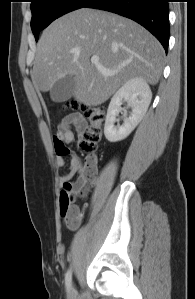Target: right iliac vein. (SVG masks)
<instances>
[{
	"mask_svg": "<svg viewBox=\"0 0 195 299\" xmlns=\"http://www.w3.org/2000/svg\"><path fill=\"white\" fill-rule=\"evenodd\" d=\"M68 295H69V299H73L75 292H74V288L71 287L68 291Z\"/></svg>",
	"mask_w": 195,
	"mask_h": 299,
	"instance_id": "1",
	"label": "right iliac vein"
}]
</instances>
